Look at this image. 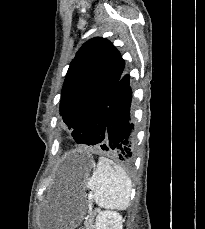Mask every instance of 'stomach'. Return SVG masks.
Listing matches in <instances>:
<instances>
[{
  "mask_svg": "<svg viewBox=\"0 0 205 229\" xmlns=\"http://www.w3.org/2000/svg\"><path fill=\"white\" fill-rule=\"evenodd\" d=\"M80 175L86 176L93 160L89 155L82 154ZM81 203L84 204V201ZM83 208L65 202L63 199L49 201L40 207L39 229H75L80 225L83 217Z\"/></svg>",
  "mask_w": 205,
  "mask_h": 229,
  "instance_id": "obj_1",
  "label": "stomach"
}]
</instances>
